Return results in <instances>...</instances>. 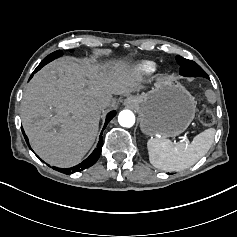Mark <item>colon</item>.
I'll return each instance as SVG.
<instances>
[{
  "instance_id": "obj_1",
  "label": "colon",
  "mask_w": 237,
  "mask_h": 237,
  "mask_svg": "<svg viewBox=\"0 0 237 237\" xmlns=\"http://www.w3.org/2000/svg\"><path fill=\"white\" fill-rule=\"evenodd\" d=\"M206 98L209 102L214 103L216 95L213 91H207ZM199 120L204 126L210 127L215 122L214 113L210 109H203L199 114Z\"/></svg>"
}]
</instances>
